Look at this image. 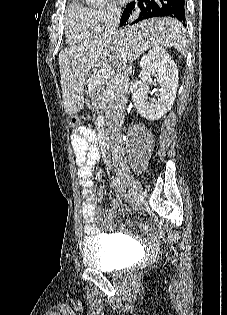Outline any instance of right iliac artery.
<instances>
[{
    "label": "right iliac artery",
    "mask_w": 227,
    "mask_h": 315,
    "mask_svg": "<svg viewBox=\"0 0 227 315\" xmlns=\"http://www.w3.org/2000/svg\"><path fill=\"white\" fill-rule=\"evenodd\" d=\"M112 183L120 189H126L127 185L119 177H112Z\"/></svg>",
    "instance_id": "obj_1"
}]
</instances>
